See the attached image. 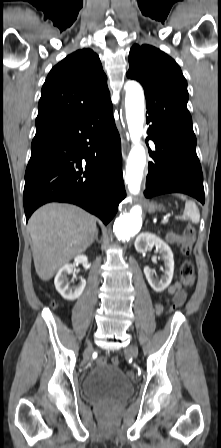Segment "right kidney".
<instances>
[{
	"label": "right kidney",
	"mask_w": 221,
	"mask_h": 448,
	"mask_svg": "<svg viewBox=\"0 0 221 448\" xmlns=\"http://www.w3.org/2000/svg\"><path fill=\"white\" fill-rule=\"evenodd\" d=\"M87 262L88 258L85 255H79L74 259V265L75 264L85 265ZM74 265L66 264L63 267H61L54 279L56 290L60 293V295L64 299L69 301H73L78 297H80L86 286V280L81 279V282L77 286L70 287L67 275L73 272Z\"/></svg>",
	"instance_id": "ca27d5eb"
}]
</instances>
